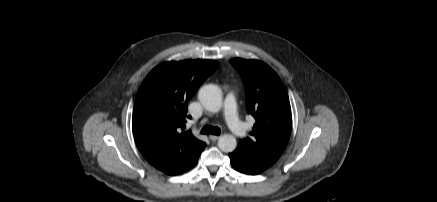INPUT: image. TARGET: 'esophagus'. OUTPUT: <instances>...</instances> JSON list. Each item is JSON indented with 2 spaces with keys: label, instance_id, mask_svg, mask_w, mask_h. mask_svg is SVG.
I'll use <instances>...</instances> for the list:
<instances>
[{
  "label": "esophagus",
  "instance_id": "esophagus-1",
  "mask_svg": "<svg viewBox=\"0 0 437 202\" xmlns=\"http://www.w3.org/2000/svg\"><path fill=\"white\" fill-rule=\"evenodd\" d=\"M209 138H210L211 141H216V140L219 139V136H217V135H210Z\"/></svg>",
  "mask_w": 437,
  "mask_h": 202
}]
</instances>
